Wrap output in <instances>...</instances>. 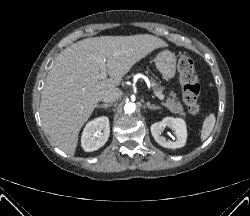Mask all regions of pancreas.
Here are the masks:
<instances>
[{"instance_id":"pancreas-1","label":"pancreas","mask_w":250,"mask_h":216,"mask_svg":"<svg viewBox=\"0 0 250 216\" xmlns=\"http://www.w3.org/2000/svg\"><path fill=\"white\" fill-rule=\"evenodd\" d=\"M151 86L153 89L159 93L162 94L163 92V87H159L158 83L155 81L151 82ZM171 98H168L166 102L163 104L165 107H167L172 113L178 114L180 116H185L184 109L182 107V104L180 101L176 98V95L174 93L170 94Z\"/></svg>"}]
</instances>
